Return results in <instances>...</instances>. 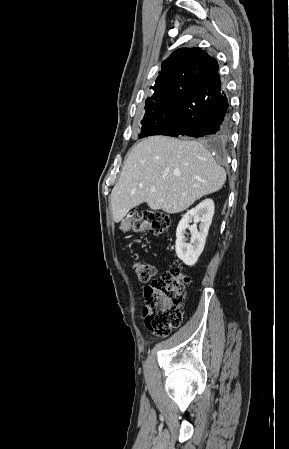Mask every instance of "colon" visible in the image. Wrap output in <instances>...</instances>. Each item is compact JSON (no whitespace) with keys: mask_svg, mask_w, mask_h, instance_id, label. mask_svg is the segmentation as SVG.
Here are the masks:
<instances>
[{"mask_svg":"<svg viewBox=\"0 0 289 449\" xmlns=\"http://www.w3.org/2000/svg\"><path fill=\"white\" fill-rule=\"evenodd\" d=\"M170 224L169 217L159 211L147 210L129 222L135 231L161 235ZM133 268L141 281H150L156 274L153 263L136 260ZM190 278L179 268H172L144 289L143 318L154 335L166 337L182 322L184 290Z\"/></svg>","mask_w":289,"mask_h":449,"instance_id":"1","label":"colon"}]
</instances>
